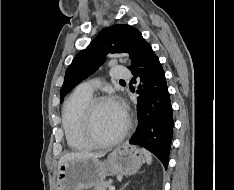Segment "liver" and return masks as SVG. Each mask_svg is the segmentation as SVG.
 Instances as JSON below:
<instances>
[{
    "label": "liver",
    "mask_w": 234,
    "mask_h": 190,
    "mask_svg": "<svg viewBox=\"0 0 234 190\" xmlns=\"http://www.w3.org/2000/svg\"><path fill=\"white\" fill-rule=\"evenodd\" d=\"M105 153H89V152H75V153H67L62 156L58 162V167L66 161L74 160V159H83V158H100L104 156Z\"/></svg>",
    "instance_id": "liver-1"
}]
</instances>
